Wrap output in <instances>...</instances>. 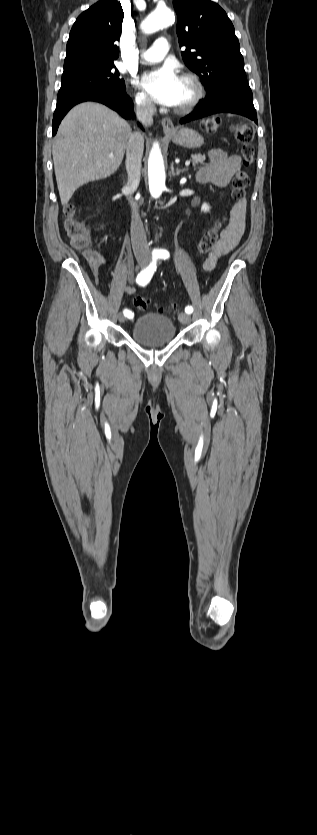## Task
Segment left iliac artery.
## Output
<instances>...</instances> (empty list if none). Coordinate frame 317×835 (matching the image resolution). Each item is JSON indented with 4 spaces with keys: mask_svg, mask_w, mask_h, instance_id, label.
<instances>
[{
    "mask_svg": "<svg viewBox=\"0 0 317 835\" xmlns=\"http://www.w3.org/2000/svg\"><path fill=\"white\" fill-rule=\"evenodd\" d=\"M169 256H170V254H169V252H168L166 249H162V250H160V251L158 252V254H157V257H159V258H161V259H164V260H165V259H168V258H169ZM185 312H186V313H188V314L192 313V312H193V307H192V306H190V305L186 306V307H185Z\"/></svg>",
    "mask_w": 317,
    "mask_h": 835,
    "instance_id": "44dca946",
    "label": "left iliac artery"
}]
</instances>
